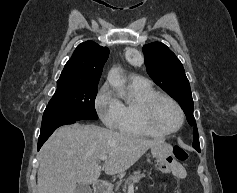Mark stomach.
I'll use <instances>...</instances> for the list:
<instances>
[{"instance_id":"0dacf381","label":"stomach","mask_w":237,"mask_h":193,"mask_svg":"<svg viewBox=\"0 0 237 193\" xmlns=\"http://www.w3.org/2000/svg\"><path fill=\"white\" fill-rule=\"evenodd\" d=\"M171 146L164 141L151 147V154L156 159H164L171 153Z\"/></svg>"}]
</instances>
